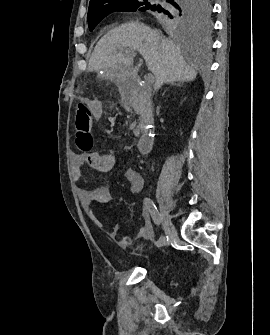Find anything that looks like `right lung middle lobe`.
<instances>
[{"mask_svg": "<svg viewBox=\"0 0 270 335\" xmlns=\"http://www.w3.org/2000/svg\"><path fill=\"white\" fill-rule=\"evenodd\" d=\"M166 4L152 5L148 0H117L97 7H89L88 25L90 31L107 15L115 11H147L155 15L160 23L172 29H188L207 26L210 15V0H168Z\"/></svg>", "mask_w": 270, "mask_h": 335, "instance_id": "obj_1", "label": "right lung middle lobe"}]
</instances>
